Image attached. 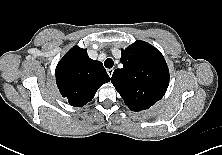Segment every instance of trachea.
<instances>
[{"label":"trachea","mask_w":222,"mask_h":155,"mask_svg":"<svg viewBox=\"0 0 222 155\" xmlns=\"http://www.w3.org/2000/svg\"><path fill=\"white\" fill-rule=\"evenodd\" d=\"M104 65H105V67L106 68H112L113 67V65H114V62H113V60L111 59V58H107L106 60H105V62H104Z\"/></svg>","instance_id":"3493384b"}]
</instances>
